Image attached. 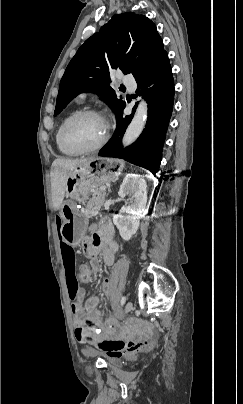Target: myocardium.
Instances as JSON below:
<instances>
[{
    "instance_id": "obj_1",
    "label": "myocardium",
    "mask_w": 243,
    "mask_h": 404,
    "mask_svg": "<svg viewBox=\"0 0 243 404\" xmlns=\"http://www.w3.org/2000/svg\"><path fill=\"white\" fill-rule=\"evenodd\" d=\"M84 116H95V117H98V118H102L101 115L97 111H95L93 109H89V108L79 109V110L73 112L72 114H70L65 119V121L63 122V124L61 126V129H60V137H61L62 142L66 146H68V147H70V148H72L74 150H77L80 153L95 152V151L101 149L107 143V141L109 139V136H108V133L106 131H105V134H104L102 140L99 143H97L96 145L91 146V147H85V146L79 145V144L73 142L72 140H70L68 138V136H67L68 127L75 120H77V119H79L81 117H84Z\"/></svg>"
}]
</instances>
